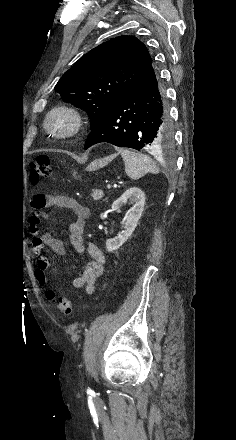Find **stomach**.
Here are the masks:
<instances>
[{
	"instance_id": "stomach-1",
	"label": "stomach",
	"mask_w": 236,
	"mask_h": 440,
	"mask_svg": "<svg viewBox=\"0 0 236 440\" xmlns=\"http://www.w3.org/2000/svg\"><path fill=\"white\" fill-rule=\"evenodd\" d=\"M99 165H100V163H99V161H96L95 163H93L91 166H90V169H93V168H97V167H99ZM73 176H74V178H79V176H77V173L74 171L73 172Z\"/></svg>"
}]
</instances>
